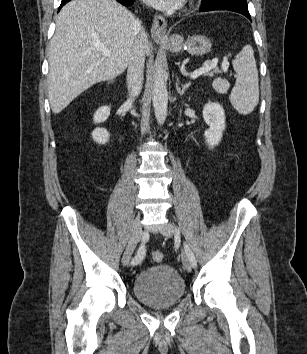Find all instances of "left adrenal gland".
<instances>
[{"instance_id":"left-adrenal-gland-1","label":"left adrenal gland","mask_w":307,"mask_h":354,"mask_svg":"<svg viewBox=\"0 0 307 354\" xmlns=\"http://www.w3.org/2000/svg\"><path fill=\"white\" fill-rule=\"evenodd\" d=\"M191 86V83L188 82L184 85H182V87H179V81L177 79V82H176V89H177V92L180 94V95H183L185 93V91Z\"/></svg>"}]
</instances>
